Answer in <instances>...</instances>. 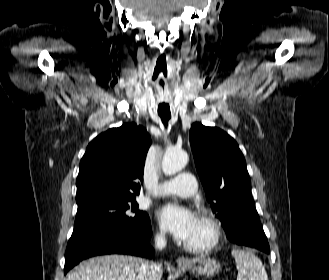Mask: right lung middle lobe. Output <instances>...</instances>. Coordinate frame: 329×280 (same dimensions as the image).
I'll return each instance as SVG.
<instances>
[{
  "instance_id": "right-lung-middle-lobe-1",
  "label": "right lung middle lobe",
  "mask_w": 329,
  "mask_h": 280,
  "mask_svg": "<svg viewBox=\"0 0 329 280\" xmlns=\"http://www.w3.org/2000/svg\"><path fill=\"white\" fill-rule=\"evenodd\" d=\"M76 202L78 209L72 236L93 227H110L128 234H139L150 225L148 214L138 210L135 196L93 195L76 198Z\"/></svg>"
}]
</instances>
